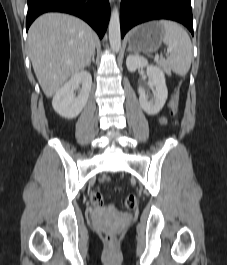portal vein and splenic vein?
<instances>
[{
    "label": "portal vein and splenic vein",
    "instance_id": "obj_1",
    "mask_svg": "<svg viewBox=\"0 0 227 265\" xmlns=\"http://www.w3.org/2000/svg\"><path fill=\"white\" fill-rule=\"evenodd\" d=\"M168 52H170V50H168ZM155 61H159V57H155Z\"/></svg>",
    "mask_w": 227,
    "mask_h": 265
}]
</instances>
